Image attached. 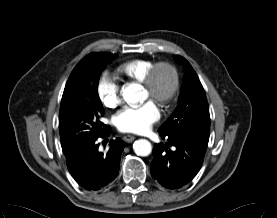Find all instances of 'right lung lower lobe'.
Returning a JSON list of instances; mask_svg holds the SVG:
<instances>
[{
    "label": "right lung lower lobe",
    "instance_id": "98d812e1",
    "mask_svg": "<svg viewBox=\"0 0 277 218\" xmlns=\"http://www.w3.org/2000/svg\"><path fill=\"white\" fill-rule=\"evenodd\" d=\"M109 129L99 137H108ZM98 138L67 156V166L74 179L85 189L99 190L113 181L119 172V162L124 149L120 138L110 141L107 154L98 151ZM108 139L103 141L106 144Z\"/></svg>",
    "mask_w": 277,
    "mask_h": 218
}]
</instances>
